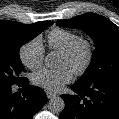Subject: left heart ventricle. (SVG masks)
I'll use <instances>...</instances> for the list:
<instances>
[{
  "mask_svg": "<svg viewBox=\"0 0 119 119\" xmlns=\"http://www.w3.org/2000/svg\"><path fill=\"white\" fill-rule=\"evenodd\" d=\"M83 59V52L78 53L77 56L72 59L66 58L65 56L61 55L59 66L62 68L67 67L70 70L74 71L78 66H80V64L83 62Z\"/></svg>",
  "mask_w": 119,
  "mask_h": 119,
  "instance_id": "1",
  "label": "left heart ventricle"
}]
</instances>
